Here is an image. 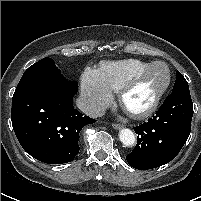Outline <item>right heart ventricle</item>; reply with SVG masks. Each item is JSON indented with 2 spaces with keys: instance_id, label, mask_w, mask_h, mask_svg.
<instances>
[{
  "instance_id": "1",
  "label": "right heart ventricle",
  "mask_w": 201,
  "mask_h": 201,
  "mask_svg": "<svg viewBox=\"0 0 201 201\" xmlns=\"http://www.w3.org/2000/svg\"><path fill=\"white\" fill-rule=\"evenodd\" d=\"M150 64L138 59H125L103 63L97 70L110 90L119 92L128 79Z\"/></svg>"
}]
</instances>
